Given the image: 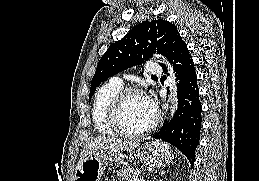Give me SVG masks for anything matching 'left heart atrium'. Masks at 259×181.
Wrapping results in <instances>:
<instances>
[{
    "instance_id": "left-heart-atrium-1",
    "label": "left heart atrium",
    "mask_w": 259,
    "mask_h": 181,
    "mask_svg": "<svg viewBox=\"0 0 259 181\" xmlns=\"http://www.w3.org/2000/svg\"><path fill=\"white\" fill-rule=\"evenodd\" d=\"M147 102H148V105H149L150 109L152 111L156 112V105H155V103L152 100H149V99H147Z\"/></svg>"
}]
</instances>
